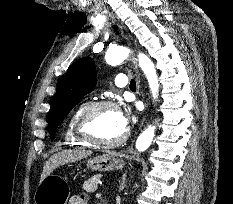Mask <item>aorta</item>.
<instances>
[{"label":"aorta","instance_id":"aorta-1","mask_svg":"<svg viewBox=\"0 0 233 204\" xmlns=\"http://www.w3.org/2000/svg\"><path fill=\"white\" fill-rule=\"evenodd\" d=\"M129 53L130 50L126 47H121V46L114 47L108 49L105 55V59L109 65L115 66L125 61L128 58ZM138 64L147 78L153 98L156 99L158 97L159 83L153 62L148 56L140 53L138 55ZM154 135H155V126L154 125L148 126L139 135L136 141V149L139 152L145 151L151 145Z\"/></svg>","mask_w":233,"mask_h":204}]
</instances>
